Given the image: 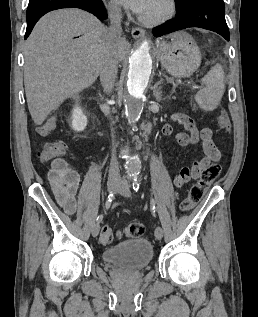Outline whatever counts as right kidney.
<instances>
[{
    "label": "right kidney",
    "mask_w": 258,
    "mask_h": 317,
    "mask_svg": "<svg viewBox=\"0 0 258 317\" xmlns=\"http://www.w3.org/2000/svg\"><path fill=\"white\" fill-rule=\"evenodd\" d=\"M71 118V126L73 130H84V128H86L88 122L87 116H85L80 106H75V108H73Z\"/></svg>",
    "instance_id": "ca27d5eb"
}]
</instances>
